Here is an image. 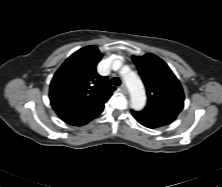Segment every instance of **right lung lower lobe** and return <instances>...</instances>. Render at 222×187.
Returning a JSON list of instances; mask_svg holds the SVG:
<instances>
[{
    "label": "right lung lower lobe",
    "instance_id": "1",
    "mask_svg": "<svg viewBox=\"0 0 222 187\" xmlns=\"http://www.w3.org/2000/svg\"><path fill=\"white\" fill-rule=\"evenodd\" d=\"M98 116V115H97ZM95 116V117H97ZM95 117L92 118H88V119H79V120H69V121H65L66 123L70 124V125H74V126H82L87 124L88 122H90L91 120H93Z\"/></svg>",
    "mask_w": 222,
    "mask_h": 187
}]
</instances>
